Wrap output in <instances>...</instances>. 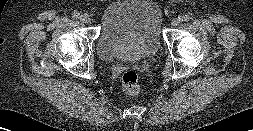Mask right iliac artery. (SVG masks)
<instances>
[{"label": "right iliac artery", "instance_id": "obj_1", "mask_svg": "<svg viewBox=\"0 0 253 131\" xmlns=\"http://www.w3.org/2000/svg\"><path fill=\"white\" fill-rule=\"evenodd\" d=\"M72 17H73L74 19H79L81 16H80V13H79V12L74 11V12L72 13Z\"/></svg>", "mask_w": 253, "mask_h": 131}]
</instances>
